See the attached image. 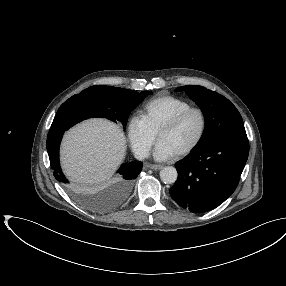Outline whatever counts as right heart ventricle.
<instances>
[{"label": "right heart ventricle", "mask_w": 286, "mask_h": 286, "mask_svg": "<svg viewBox=\"0 0 286 286\" xmlns=\"http://www.w3.org/2000/svg\"><path fill=\"white\" fill-rule=\"evenodd\" d=\"M191 106L185 99L175 96H160L146 102L141 116L150 129L157 133L159 128L172 116Z\"/></svg>", "instance_id": "right-heart-ventricle-1"}]
</instances>
